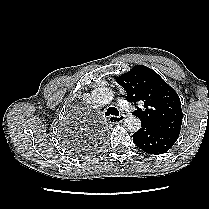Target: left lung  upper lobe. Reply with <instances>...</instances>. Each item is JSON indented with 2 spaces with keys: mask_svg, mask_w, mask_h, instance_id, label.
I'll use <instances>...</instances> for the list:
<instances>
[{
  "mask_svg": "<svg viewBox=\"0 0 209 209\" xmlns=\"http://www.w3.org/2000/svg\"><path fill=\"white\" fill-rule=\"evenodd\" d=\"M127 92V101L143 104L134 115L142 124L179 136L182 124L180 98L152 69L137 65L116 78Z\"/></svg>",
  "mask_w": 209,
  "mask_h": 209,
  "instance_id": "left-lung-upper-lobe-1",
  "label": "left lung upper lobe"
}]
</instances>
